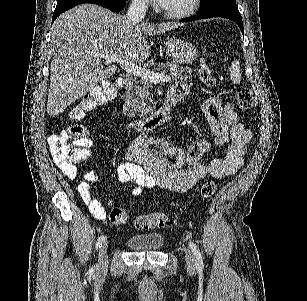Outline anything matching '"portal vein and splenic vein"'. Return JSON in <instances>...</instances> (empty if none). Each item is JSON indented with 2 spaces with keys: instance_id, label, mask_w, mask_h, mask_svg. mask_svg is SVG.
I'll return each instance as SVG.
<instances>
[{
  "instance_id": "1",
  "label": "portal vein and splenic vein",
  "mask_w": 307,
  "mask_h": 301,
  "mask_svg": "<svg viewBox=\"0 0 307 301\" xmlns=\"http://www.w3.org/2000/svg\"><path fill=\"white\" fill-rule=\"evenodd\" d=\"M105 64H111V62H119L120 66L129 72V74H133V76H141L144 80H149V82H160V80H171V76L169 74H159V72H151L148 68H142V66H138V64H134V62H128V60H122V58H118V56H104Z\"/></svg>"
}]
</instances>
